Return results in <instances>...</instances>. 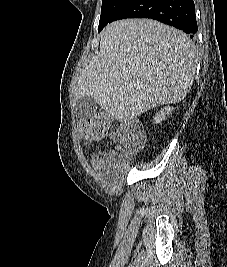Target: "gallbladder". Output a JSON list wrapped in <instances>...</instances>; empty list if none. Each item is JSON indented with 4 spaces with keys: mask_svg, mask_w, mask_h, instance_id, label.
Wrapping results in <instances>:
<instances>
[{
    "mask_svg": "<svg viewBox=\"0 0 227 267\" xmlns=\"http://www.w3.org/2000/svg\"><path fill=\"white\" fill-rule=\"evenodd\" d=\"M77 113L82 117H88L95 113L97 103L91 95H86L77 100Z\"/></svg>",
    "mask_w": 227,
    "mask_h": 267,
    "instance_id": "1",
    "label": "gallbladder"
}]
</instances>
